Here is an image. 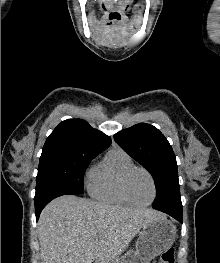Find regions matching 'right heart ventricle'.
Listing matches in <instances>:
<instances>
[{"mask_svg":"<svg viewBox=\"0 0 220 263\" xmlns=\"http://www.w3.org/2000/svg\"><path fill=\"white\" fill-rule=\"evenodd\" d=\"M133 166V160L123 150H109L89 173L87 188L90 196L107 204L130 205L123 195L121 184L124 173Z\"/></svg>","mask_w":220,"mask_h":263,"instance_id":"e07e8e85","label":"right heart ventricle"}]
</instances>
